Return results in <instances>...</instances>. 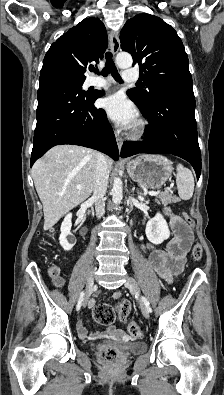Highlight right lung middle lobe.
Segmentation results:
<instances>
[{
  "mask_svg": "<svg viewBox=\"0 0 224 395\" xmlns=\"http://www.w3.org/2000/svg\"><path fill=\"white\" fill-rule=\"evenodd\" d=\"M41 75H49V76H53L55 78H58L62 81L67 82L69 85L73 86L75 89H77L79 92L81 93H85L84 91H82V85L83 82L85 81V79L83 78H78L72 75H69L63 71H59V70H51L49 72H46L44 74Z\"/></svg>",
  "mask_w": 224,
  "mask_h": 395,
  "instance_id": "right-lung-middle-lobe-1",
  "label": "right lung middle lobe"
}]
</instances>
